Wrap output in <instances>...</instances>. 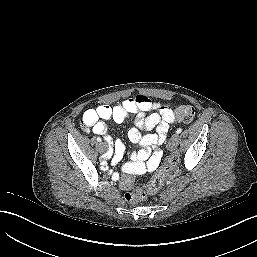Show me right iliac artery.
I'll return each instance as SVG.
<instances>
[{
  "mask_svg": "<svg viewBox=\"0 0 257 257\" xmlns=\"http://www.w3.org/2000/svg\"><path fill=\"white\" fill-rule=\"evenodd\" d=\"M97 141H98V142H101V138H100V137H97ZM106 156L108 157V153L106 154Z\"/></svg>",
  "mask_w": 257,
  "mask_h": 257,
  "instance_id": "1",
  "label": "right iliac artery"
}]
</instances>
